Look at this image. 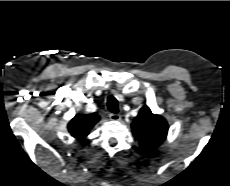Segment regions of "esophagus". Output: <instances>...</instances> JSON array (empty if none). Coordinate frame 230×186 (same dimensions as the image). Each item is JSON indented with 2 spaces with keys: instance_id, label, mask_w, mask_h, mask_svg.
Returning <instances> with one entry per match:
<instances>
[{
  "instance_id": "obj_1",
  "label": "esophagus",
  "mask_w": 230,
  "mask_h": 186,
  "mask_svg": "<svg viewBox=\"0 0 230 186\" xmlns=\"http://www.w3.org/2000/svg\"><path fill=\"white\" fill-rule=\"evenodd\" d=\"M109 118L113 121H119L121 120V115L117 113H111L109 114Z\"/></svg>"
}]
</instances>
